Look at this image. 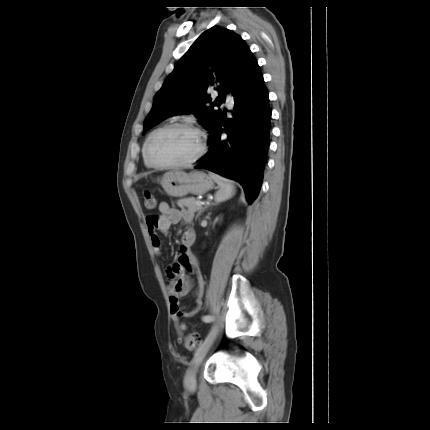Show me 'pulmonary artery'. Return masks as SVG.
I'll list each match as a JSON object with an SVG mask.
<instances>
[{"label": "pulmonary artery", "mask_w": 430, "mask_h": 430, "mask_svg": "<svg viewBox=\"0 0 430 430\" xmlns=\"http://www.w3.org/2000/svg\"><path fill=\"white\" fill-rule=\"evenodd\" d=\"M227 105L229 107L233 106V99H232L231 95H227Z\"/></svg>", "instance_id": "pulmonary-artery-1"}]
</instances>
